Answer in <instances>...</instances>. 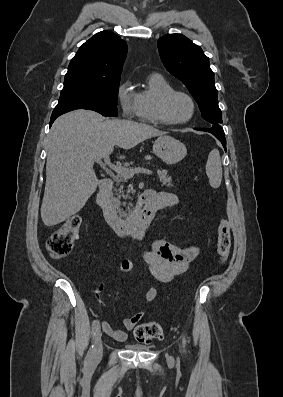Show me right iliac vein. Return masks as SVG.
I'll list each match as a JSON object with an SVG mask.
<instances>
[{
    "label": "right iliac vein",
    "instance_id": "1",
    "mask_svg": "<svg viewBox=\"0 0 283 397\" xmlns=\"http://www.w3.org/2000/svg\"><path fill=\"white\" fill-rule=\"evenodd\" d=\"M102 333L101 330L99 329L96 333L95 337V347L93 350V359L94 360H99L102 357L103 353V343H102Z\"/></svg>",
    "mask_w": 283,
    "mask_h": 397
}]
</instances>
